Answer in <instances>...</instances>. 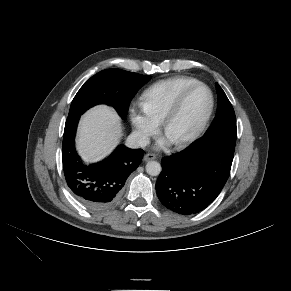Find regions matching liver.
I'll list each match as a JSON object with an SVG mask.
<instances>
[{
    "label": "liver",
    "mask_w": 291,
    "mask_h": 291,
    "mask_svg": "<svg viewBox=\"0 0 291 291\" xmlns=\"http://www.w3.org/2000/svg\"><path fill=\"white\" fill-rule=\"evenodd\" d=\"M121 121L114 109L99 105L81 118L77 149L88 162L102 159L116 146L122 134Z\"/></svg>",
    "instance_id": "obj_1"
}]
</instances>
